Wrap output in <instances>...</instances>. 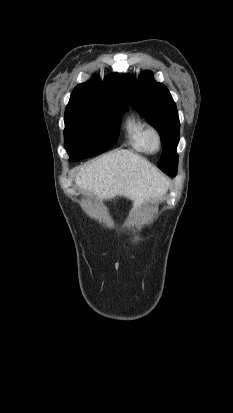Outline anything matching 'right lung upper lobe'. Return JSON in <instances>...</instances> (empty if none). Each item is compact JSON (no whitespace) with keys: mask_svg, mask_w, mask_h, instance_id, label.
<instances>
[{"mask_svg":"<svg viewBox=\"0 0 233 413\" xmlns=\"http://www.w3.org/2000/svg\"><path fill=\"white\" fill-rule=\"evenodd\" d=\"M123 80L118 73L103 81L93 77L86 83L78 84L72 91L71 98H81L97 101L121 102L127 105L122 92Z\"/></svg>","mask_w":233,"mask_h":413,"instance_id":"right-lung-upper-lobe-1","label":"right lung upper lobe"}]
</instances>
